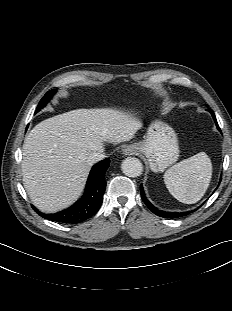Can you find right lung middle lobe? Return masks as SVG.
<instances>
[{
	"label": "right lung middle lobe",
	"instance_id": "dd1d6c3e",
	"mask_svg": "<svg viewBox=\"0 0 232 311\" xmlns=\"http://www.w3.org/2000/svg\"><path fill=\"white\" fill-rule=\"evenodd\" d=\"M55 92L56 90L52 89L45 94V96L39 102L35 113H37L40 109H42L47 104V102L51 99V97L53 96Z\"/></svg>",
	"mask_w": 232,
	"mask_h": 311
}]
</instances>
